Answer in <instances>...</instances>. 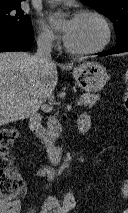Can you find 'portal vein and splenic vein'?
<instances>
[{
    "label": "portal vein and splenic vein",
    "instance_id": "obj_1",
    "mask_svg": "<svg viewBox=\"0 0 128 213\" xmlns=\"http://www.w3.org/2000/svg\"><path fill=\"white\" fill-rule=\"evenodd\" d=\"M78 105H80V101H78Z\"/></svg>",
    "mask_w": 128,
    "mask_h": 213
}]
</instances>
